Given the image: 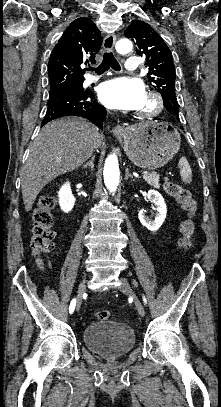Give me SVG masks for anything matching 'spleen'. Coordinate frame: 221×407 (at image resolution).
<instances>
[{"label":"spleen","instance_id":"spleen-1","mask_svg":"<svg viewBox=\"0 0 221 407\" xmlns=\"http://www.w3.org/2000/svg\"><path fill=\"white\" fill-rule=\"evenodd\" d=\"M178 166L180 168V176L184 183L189 184L192 180V170L188 160L185 157H181Z\"/></svg>","mask_w":221,"mask_h":407}]
</instances>
